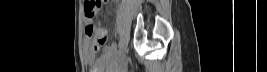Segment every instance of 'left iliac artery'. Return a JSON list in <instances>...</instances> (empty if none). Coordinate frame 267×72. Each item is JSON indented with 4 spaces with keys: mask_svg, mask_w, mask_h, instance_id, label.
I'll list each match as a JSON object with an SVG mask.
<instances>
[{
    "mask_svg": "<svg viewBox=\"0 0 267 72\" xmlns=\"http://www.w3.org/2000/svg\"><path fill=\"white\" fill-rule=\"evenodd\" d=\"M123 54V40L119 39L118 46H117V58H121Z\"/></svg>",
    "mask_w": 267,
    "mask_h": 72,
    "instance_id": "1",
    "label": "left iliac artery"
}]
</instances>
